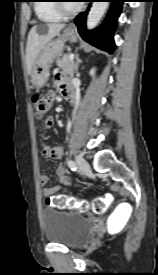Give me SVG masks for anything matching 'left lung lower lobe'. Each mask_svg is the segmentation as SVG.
Wrapping results in <instances>:
<instances>
[{
    "mask_svg": "<svg viewBox=\"0 0 158 275\" xmlns=\"http://www.w3.org/2000/svg\"><path fill=\"white\" fill-rule=\"evenodd\" d=\"M112 3L108 15L104 22L97 28L91 31L86 30V15L85 13L79 14L75 19V24L81 37L91 45L112 53L115 48L113 33L116 29V21L121 13L122 3L124 0H107Z\"/></svg>",
    "mask_w": 158,
    "mask_h": 275,
    "instance_id": "0a47b994",
    "label": "left lung lower lobe"
}]
</instances>
